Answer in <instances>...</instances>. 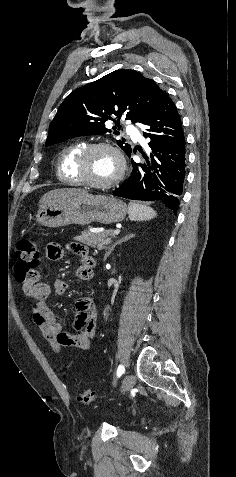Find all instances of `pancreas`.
<instances>
[{"mask_svg": "<svg viewBox=\"0 0 236 477\" xmlns=\"http://www.w3.org/2000/svg\"><path fill=\"white\" fill-rule=\"evenodd\" d=\"M114 238L113 231L107 230L98 233H92L89 231H83L81 235L76 236L74 239L80 243L86 244L92 248L102 250L106 248V245L110 244Z\"/></svg>", "mask_w": 236, "mask_h": 477, "instance_id": "1", "label": "pancreas"}]
</instances>
